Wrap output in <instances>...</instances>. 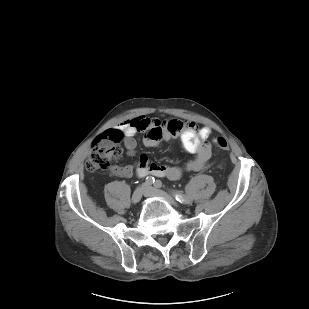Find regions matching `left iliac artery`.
<instances>
[{"mask_svg": "<svg viewBox=\"0 0 309 309\" xmlns=\"http://www.w3.org/2000/svg\"><path fill=\"white\" fill-rule=\"evenodd\" d=\"M154 186L156 188H165V185L160 180H156L155 183H154ZM167 190L180 203L189 204L191 202V199L188 196H186L185 194H183L181 192H177L175 190L168 189V188H167Z\"/></svg>", "mask_w": 309, "mask_h": 309, "instance_id": "44dca946", "label": "left iliac artery"}]
</instances>
